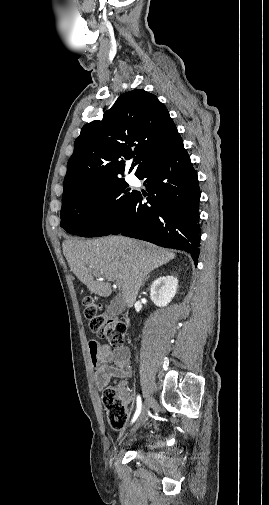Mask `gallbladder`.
I'll return each mask as SVG.
<instances>
[{"label": "gallbladder", "instance_id": "1", "mask_svg": "<svg viewBox=\"0 0 269 505\" xmlns=\"http://www.w3.org/2000/svg\"><path fill=\"white\" fill-rule=\"evenodd\" d=\"M125 302L122 296H116L113 298L109 305L107 306V314L110 316H117L124 312L125 310Z\"/></svg>", "mask_w": 269, "mask_h": 505}]
</instances>
